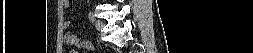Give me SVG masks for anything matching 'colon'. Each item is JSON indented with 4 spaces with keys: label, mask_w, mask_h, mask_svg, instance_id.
Returning a JSON list of instances; mask_svg holds the SVG:
<instances>
[{
    "label": "colon",
    "mask_w": 253,
    "mask_h": 53,
    "mask_svg": "<svg viewBox=\"0 0 253 53\" xmlns=\"http://www.w3.org/2000/svg\"><path fill=\"white\" fill-rule=\"evenodd\" d=\"M79 47L86 48V49H93L94 45L90 41L80 40Z\"/></svg>",
    "instance_id": "colon-1"
}]
</instances>
